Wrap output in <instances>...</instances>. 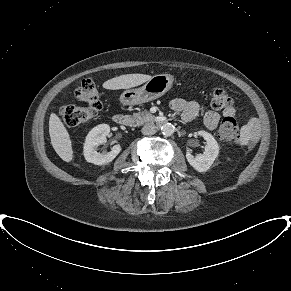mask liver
Here are the masks:
<instances>
[{"mask_svg":"<svg viewBox=\"0 0 291 291\" xmlns=\"http://www.w3.org/2000/svg\"><path fill=\"white\" fill-rule=\"evenodd\" d=\"M151 78L152 76L146 74H125L105 81L103 87L109 90L129 89L141 85ZM49 134L55 152L65 162H71L73 149L70 135L55 113H52L49 118Z\"/></svg>","mask_w":291,"mask_h":291,"instance_id":"obj_1","label":"liver"}]
</instances>
